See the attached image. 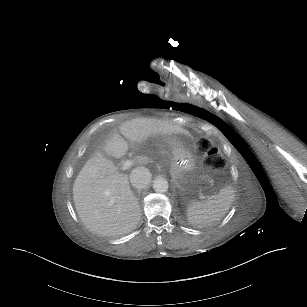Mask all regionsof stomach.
<instances>
[{
  "mask_svg": "<svg viewBox=\"0 0 307 307\" xmlns=\"http://www.w3.org/2000/svg\"><path fill=\"white\" fill-rule=\"evenodd\" d=\"M197 147L188 137H179L173 143V175L184 185L196 179Z\"/></svg>",
  "mask_w": 307,
  "mask_h": 307,
  "instance_id": "0dacf381",
  "label": "stomach"
}]
</instances>
